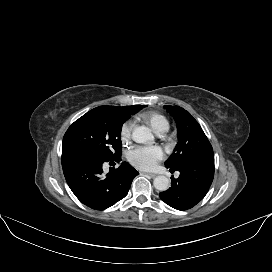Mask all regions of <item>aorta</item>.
Segmentation results:
<instances>
[{"label":"aorta","instance_id":"762f6f07","mask_svg":"<svg viewBox=\"0 0 272 272\" xmlns=\"http://www.w3.org/2000/svg\"><path fill=\"white\" fill-rule=\"evenodd\" d=\"M132 139L136 143H149L154 140V136L151 132V129L145 126H136L132 132ZM153 185L158 191H166L169 188L170 182L166 176H157Z\"/></svg>","mask_w":272,"mask_h":272}]
</instances>
